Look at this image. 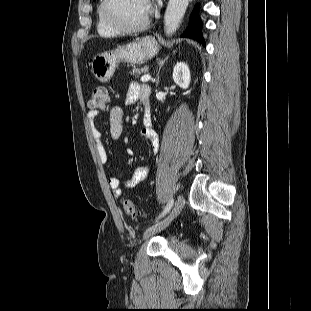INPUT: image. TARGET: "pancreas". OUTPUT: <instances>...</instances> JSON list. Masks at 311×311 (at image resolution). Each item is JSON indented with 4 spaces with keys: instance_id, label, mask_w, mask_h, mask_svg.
Listing matches in <instances>:
<instances>
[{
    "instance_id": "1",
    "label": "pancreas",
    "mask_w": 311,
    "mask_h": 311,
    "mask_svg": "<svg viewBox=\"0 0 311 311\" xmlns=\"http://www.w3.org/2000/svg\"><path fill=\"white\" fill-rule=\"evenodd\" d=\"M147 71V67H142V68H139V67H133L132 68V71H131V74L132 75H135L136 77H139V75L142 73V72H146Z\"/></svg>"
}]
</instances>
